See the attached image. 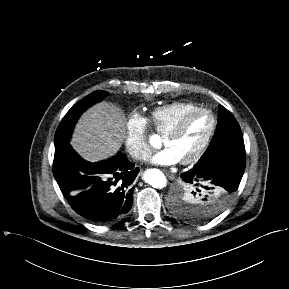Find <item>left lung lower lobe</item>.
I'll list each match as a JSON object with an SVG mask.
<instances>
[{
  "instance_id": "1",
  "label": "left lung lower lobe",
  "mask_w": 289,
  "mask_h": 289,
  "mask_svg": "<svg viewBox=\"0 0 289 289\" xmlns=\"http://www.w3.org/2000/svg\"><path fill=\"white\" fill-rule=\"evenodd\" d=\"M245 163V152L222 153L198 161L181 174L182 180L200 195L205 216L212 219L227 207L240 184Z\"/></svg>"
}]
</instances>
